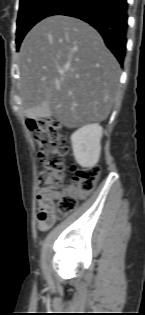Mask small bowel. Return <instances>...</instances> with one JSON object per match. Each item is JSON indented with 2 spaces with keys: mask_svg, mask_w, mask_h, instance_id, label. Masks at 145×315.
Listing matches in <instances>:
<instances>
[{
  "mask_svg": "<svg viewBox=\"0 0 145 315\" xmlns=\"http://www.w3.org/2000/svg\"><path fill=\"white\" fill-rule=\"evenodd\" d=\"M71 191V189H69ZM58 191H41L38 193L39 210L37 214L38 227L41 230L49 229L56 220L54 201L58 199ZM82 198V197H81Z\"/></svg>",
  "mask_w": 145,
  "mask_h": 315,
  "instance_id": "c3829d8e",
  "label": "small bowel"
}]
</instances>
